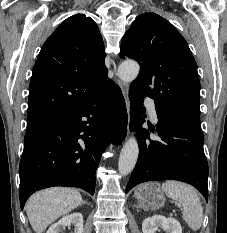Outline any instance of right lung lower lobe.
<instances>
[{"label": "right lung lower lobe", "instance_id": "obj_1", "mask_svg": "<svg viewBox=\"0 0 227 233\" xmlns=\"http://www.w3.org/2000/svg\"><path fill=\"white\" fill-rule=\"evenodd\" d=\"M126 127L123 95L110 81L86 104L27 130L19 165L21 209L47 187H78L93 195L101 154L109 143L122 142Z\"/></svg>", "mask_w": 227, "mask_h": 233}]
</instances>
